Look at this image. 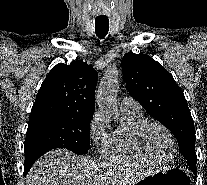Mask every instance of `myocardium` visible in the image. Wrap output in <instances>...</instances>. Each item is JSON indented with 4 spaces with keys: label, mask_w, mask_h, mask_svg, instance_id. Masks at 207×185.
Segmentation results:
<instances>
[{
    "label": "myocardium",
    "mask_w": 207,
    "mask_h": 185,
    "mask_svg": "<svg viewBox=\"0 0 207 185\" xmlns=\"http://www.w3.org/2000/svg\"><path fill=\"white\" fill-rule=\"evenodd\" d=\"M152 127H157L160 128L161 130H163L171 139L173 146H174V151L173 154L171 156L170 159L168 160H161L159 158H157L149 149L148 145H147V134L149 132V130ZM137 139H138V144L142 150V152L152 161L159 163V164H169L171 163L175 157L176 154L178 152V145H177V141L176 138L174 136V134L172 133V131L165 126L164 124L160 123V122H156V121H146L144 124L141 125V127L138 130L137 133Z\"/></svg>",
    "instance_id": "f54148a6"
}]
</instances>
